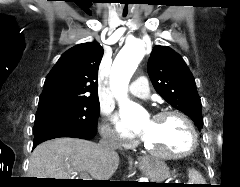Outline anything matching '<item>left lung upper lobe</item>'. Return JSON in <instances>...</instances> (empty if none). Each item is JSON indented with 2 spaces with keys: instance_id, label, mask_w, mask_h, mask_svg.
Returning a JSON list of instances; mask_svg holds the SVG:
<instances>
[{
  "instance_id": "1",
  "label": "left lung upper lobe",
  "mask_w": 240,
  "mask_h": 187,
  "mask_svg": "<svg viewBox=\"0 0 240 187\" xmlns=\"http://www.w3.org/2000/svg\"><path fill=\"white\" fill-rule=\"evenodd\" d=\"M147 71L157 93L189 116L200 131L203 125L201 100L193 74L183 58L167 46H155Z\"/></svg>"
}]
</instances>
